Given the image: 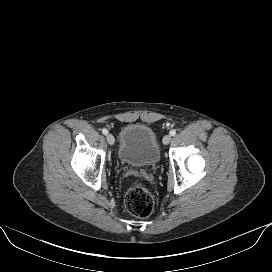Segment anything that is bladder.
<instances>
[{
  "mask_svg": "<svg viewBox=\"0 0 272 272\" xmlns=\"http://www.w3.org/2000/svg\"><path fill=\"white\" fill-rule=\"evenodd\" d=\"M119 159L134 167H152L160 160V146L153 129L144 124H130L120 133Z\"/></svg>",
  "mask_w": 272,
  "mask_h": 272,
  "instance_id": "bladder-1",
  "label": "bladder"
}]
</instances>
